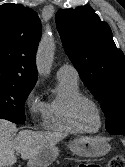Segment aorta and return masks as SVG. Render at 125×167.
Masks as SVG:
<instances>
[{"instance_id": "aorta-1", "label": "aorta", "mask_w": 125, "mask_h": 167, "mask_svg": "<svg viewBox=\"0 0 125 167\" xmlns=\"http://www.w3.org/2000/svg\"><path fill=\"white\" fill-rule=\"evenodd\" d=\"M54 43L50 36H45L38 47L37 51V68L41 75L50 72L52 57H53Z\"/></svg>"}]
</instances>
